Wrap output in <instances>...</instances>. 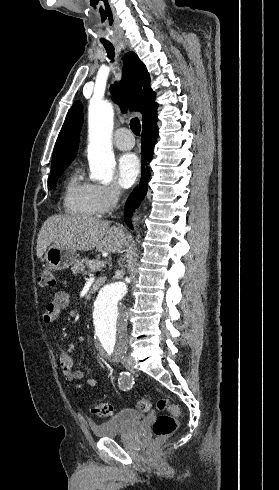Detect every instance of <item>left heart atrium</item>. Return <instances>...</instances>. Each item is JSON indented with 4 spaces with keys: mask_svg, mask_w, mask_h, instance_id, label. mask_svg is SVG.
<instances>
[{
    "mask_svg": "<svg viewBox=\"0 0 279 490\" xmlns=\"http://www.w3.org/2000/svg\"><path fill=\"white\" fill-rule=\"evenodd\" d=\"M141 172V163L135 154H124L118 162V181L127 188L133 185Z\"/></svg>",
    "mask_w": 279,
    "mask_h": 490,
    "instance_id": "left-heart-atrium-1",
    "label": "left heart atrium"
}]
</instances>
